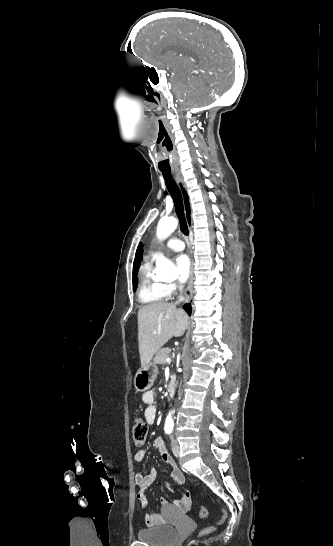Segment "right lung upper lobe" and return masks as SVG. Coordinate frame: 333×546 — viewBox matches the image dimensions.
<instances>
[{
	"label": "right lung upper lobe",
	"instance_id": "1",
	"mask_svg": "<svg viewBox=\"0 0 333 546\" xmlns=\"http://www.w3.org/2000/svg\"><path fill=\"white\" fill-rule=\"evenodd\" d=\"M142 256H143V247L140 244L139 247L137 248V251H136V258L134 260V263H137L139 265V263L142 260ZM134 283H135V280L133 279V284Z\"/></svg>",
	"mask_w": 333,
	"mask_h": 546
}]
</instances>
